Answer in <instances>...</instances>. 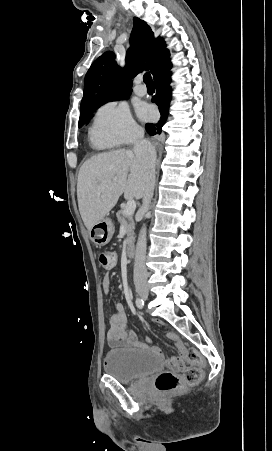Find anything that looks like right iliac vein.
<instances>
[{
  "mask_svg": "<svg viewBox=\"0 0 272 451\" xmlns=\"http://www.w3.org/2000/svg\"><path fill=\"white\" fill-rule=\"evenodd\" d=\"M137 292L142 299H144V300L148 299L149 292H148L147 288H145V287L138 288Z\"/></svg>",
  "mask_w": 272,
  "mask_h": 451,
  "instance_id": "63e3f726",
  "label": "right iliac vein"
}]
</instances>
